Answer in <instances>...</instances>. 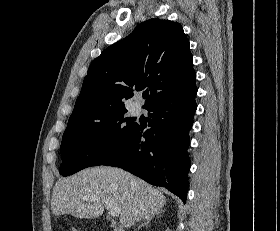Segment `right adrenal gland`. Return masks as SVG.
Masks as SVG:
<instances>
[{"label":"right adrenal gland","mask_w":280,"mask_h":231,"mask_svg":"<svg viewBox=\"0 0 280 231\" xmlns=\"http://www.w3.org/2000/svg\"><path fill=\"white\" fill-rule=\"evenodd\" d=\"M161 213H162V209H160V211H155V213H151V215H147L145 221H143V223L139 225L138 229H141V227H145V225H148V223H150L153 217H156V215H161Z\"/></svg>","instance_id":"right-adrenal-gland-1"}]
</instances>
